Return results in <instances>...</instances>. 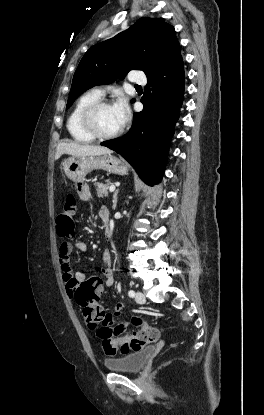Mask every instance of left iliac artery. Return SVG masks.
Returning <instances> with one entry per match:
<instances>
[{
    "mask_svg": "<svg viewBox=\"0 0 264 415\" xmlns=\"http://www.w3.org/2000/svg\"><path fill=\"white\" fill-rule=\"evenodd\" d=\"M128 295L133 298L135 296V292L133 290H129Z\"/></svg>",
    "mask_w": 264,
    "mask_h": 415,
    "instance_id": "44dca946",
    "label": "left iliac artery"
}]
</instances>
